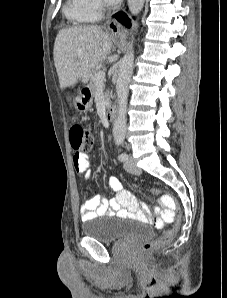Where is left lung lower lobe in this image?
<instances>
[{
    "mask_svg": "<svg viewBox=\"0 0 227 298\" xmlns=\"http://www.w3.org/2000/svg\"><path fill=\"white\" fill-rule=\"evenodd\" d=\"M116 19L123 25L130 27L131 23L130 20L128 19L127 15L123 12H119L115 15Z\"/></svg>",
    "mask_w": 227,
    "mask_h": 298,
    "instance_id": "left-lung-lower-lobe-1",
    "label": "left lung lower lobe"
}]
</instances>
